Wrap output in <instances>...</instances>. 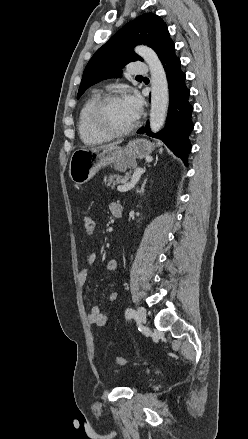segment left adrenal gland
Segmentation results:
<instances>
[{
  "label": "left adrenal gland",
  "mask_w": 248,
  "mask_h": 439,
  "mask_svg": "<svg viewBox=\"0 0 248 439\" xmlns=\"http://www.w3.org/2000/svg\"><path fill=\"white\" fill-rule=\"evenodd\" d=\"M146 182H147V178L144 179L141 188L139 190H137L138 193H140V194L144 193V188H145Z\"/></svg>",
  "instance_id": "a2214340"
}]
</instances>
